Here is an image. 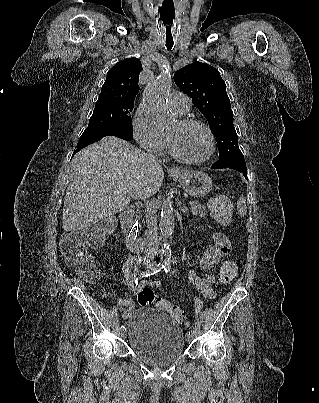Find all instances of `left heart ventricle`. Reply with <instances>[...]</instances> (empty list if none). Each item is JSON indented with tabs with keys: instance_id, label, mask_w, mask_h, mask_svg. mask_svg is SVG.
I'll list each match as a JSON object with an SVG mask.
<instances>
[{
	"instance_id": "obj_1",
	"label": "left heart ventricle",
	"mask_w": 319,
	"mask_h": 403,
	"mask_svg": "<svg viewBox=\"0 0 319 403\" xmlns=\"http://www.w3.org/2000/svg\"><path fill=\"white\" fill-rule=\"evenodd\" d=\"M166 135L172 140L177 151L186 158H203L209 150L208 135L200 126H181L176 121Z\"/></svg>"
}]
</instances>
